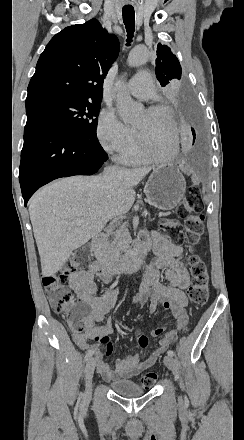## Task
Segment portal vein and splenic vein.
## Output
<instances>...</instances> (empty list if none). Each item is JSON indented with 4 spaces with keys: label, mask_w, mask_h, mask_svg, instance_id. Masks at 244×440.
<instances>
[{
    "label": "portal vein and splenic vein",
    "mask_w": 244,
    "mask_h": 440,
    "mask_svg": "<svg viewBox=\"0 0 244 440\" xmlns=\"http://www.w3.org/2000/svg\"><path fill=\"white\" fill-rule=\"evenodd\" d=\"M84 220L83 218H75V220H73L72 224H74V226H81V224H83ZM123 228H125V226H123Z\"/></svg>",
    "instance_id": "1"
}]
</instances>
